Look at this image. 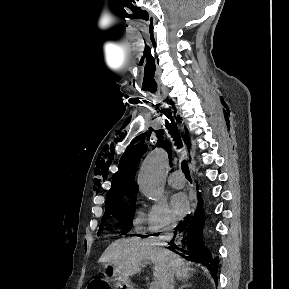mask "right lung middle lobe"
<instances>
[{"label":"right lung middle lobe","instance_id":"dd1d6c3e","mask_svg":"<svg viewBox=\"0 0 289 289\" xmlns=\"http://www.w3.org/2000/svg\"><path fill=\"white\" fill-rule=\"evenodd\" d=\"M136 196L129 198V201L122 200L105 204V213L102 217V222L98 231V235L103 231V224L111 218H115L122 223V233H127L133 224L134 208Z\"/></svg>","mask_w":289,"mask_h":289}]
</instances>
